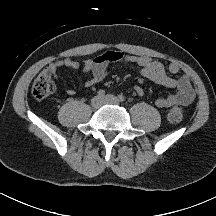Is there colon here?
I'll list each match as a JSON object with an SVG mask.
<instances>
[{
    "instance_id": "5ec220e1",
    "label": "colon",
    "mask_w": 216,
    "mask_h": 216,
    "mask_svg": "<svg viewBox=\"0 0 216 216\" xmlns=\"http://www.w3.org/2000/svg\"><path fill=\"white\" fill-rule=\"evenodd\" d=\"M55 90L53 75L48 71L40 73L33 81L31 92L34 98L44 99L52 94ZM184 116L183 109L180 106L172 107L167 119L172 124H177L182 121Z\"/></svg>"
}]
</instances>
